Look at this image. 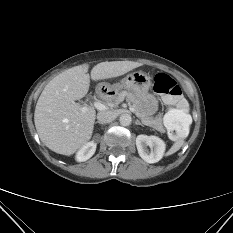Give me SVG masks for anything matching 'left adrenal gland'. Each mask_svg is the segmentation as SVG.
<instances>
[{
	"mask_svg": "<svg viewBox=\"0 0 233 233\" xmlns=\"http://www.w3.org/2000/svg\"><path fill=\"white\" fill-rule=\"evenodd\" d=\"M135 124H136V125L144 126L139 120H135Z\"/></svg>",
	"mask_w": 233,
	"mask_h": 233,
	"instance_id": "a2214340",
	"label": "left adrenal gland"
}]
</instances>
